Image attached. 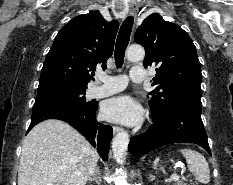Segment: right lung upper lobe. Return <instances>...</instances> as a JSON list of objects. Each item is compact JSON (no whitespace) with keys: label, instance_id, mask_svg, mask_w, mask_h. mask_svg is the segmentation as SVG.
<instances>
[{"label":"right lung upper lobe","instance_id":"right-lung-upper-lobe-1","mask_svg":"<svg viewBox=\"0 0 233 185\" xmlns=\"http://www.w3.org/2000/svg\"><path fill=\"white\" fill-rule=\"evenodd\" d=\"M118 22H107L98 11L79 15L57 34L47 54L38 90L51 88L87 89L91 71L112 55Z\"/></svg>","mask_w":233,"mask_h":185}]
</instances>
